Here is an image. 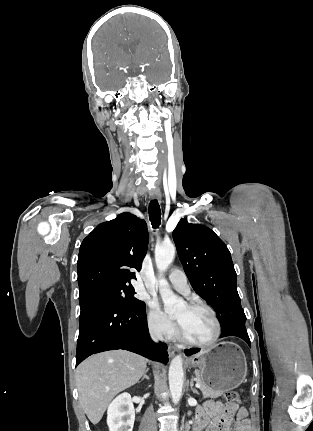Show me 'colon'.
Segmentation results:
<instances>
[{"mask_svg": "<svg viewBox=\"0 0 313 431\" xmlns=\"http://www.w3.org/2000/svg\"><path fill=\"white\" fill-rule=\"evenodd\" d=\"M227 406H233L240 403V395L236 391H229L225 395Z\"/></svg>", "mask_w": 313, "mask_h": 431, "instance_id": "1", "label": "colon"}]
</instances>
